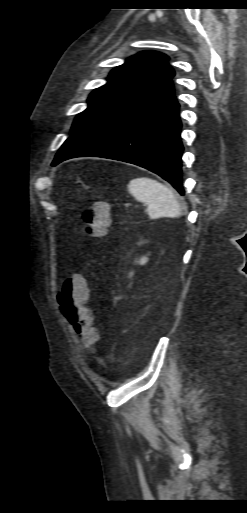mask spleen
Here are the masks:
<instances>
[{
	"label": "spleen",
	"mask_w": 247,
	"mask_h": 513,
	"mask_svg": "<svg viewBox=\"0 0 247 513\" xmlns=\"http://www.w3.org/2000/svg\"><path fill=\"white\" fill-rule=\"evenodd\" d=\"M127 189L137 201L147 205L150 219L177 217L182 213V207L173 191L158 180L150 177L133 178Z\"/></svg>",
	"instance_id": "3e777b00"
}]
</instances>
